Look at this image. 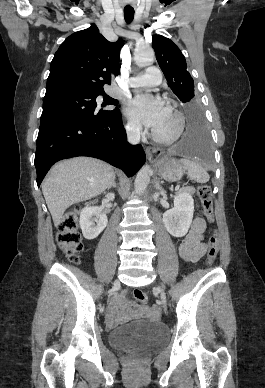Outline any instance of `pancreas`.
<instances>
[{
    "label": "pancreas",
    "instance_id": "cf45deb5",
    "mask_svg": "<svg viewBox=\"0 0 265 388\" xmlns=\"http://www.w3.org/2000/svg\"><path fill=\"white\" fill-rule=\"evenodd\" d=\"M179 192H187V194H195L196 190L195 188H181Z\"/></svg>",
    "mask_w": 265,
    "mask_h": 388
}]
</instances>
